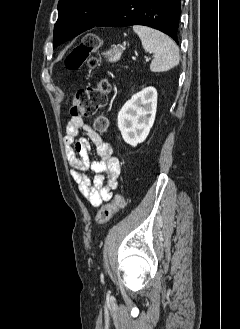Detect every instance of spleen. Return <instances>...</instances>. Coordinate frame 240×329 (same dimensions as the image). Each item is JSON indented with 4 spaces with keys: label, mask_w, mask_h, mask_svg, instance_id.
Returning a JSON list of instances; mask_svg holds the SVG:
<instances>
[{
    "label": "spleen",
    "mask_w": 240,
    "mask_h": 329,
    "mask_svg": "<svg viewBox=\"0 0 240 329\" xmlns=\"http://www.w3.org/2000/svg\"><path fill=\"white\" fill-rule=\"evenodd\" d=\"M133 30L141 39L144 50L154 56L150 65L152 72L168 71L178 65L179 48L170 37L141 25L133 26Z\"/></svg>",
    "instance_id": "obj_1"
}]
</instances>
